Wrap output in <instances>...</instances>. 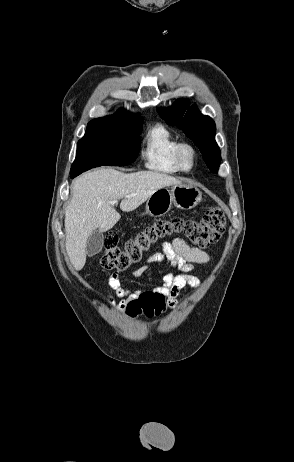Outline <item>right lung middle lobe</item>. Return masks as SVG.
Here are the masks:
<instances>
[{"mask_svg":"<svg viewBox=\"0 0 294 462\" xmlns=\"http://www.w3.org/2000/svg\"><path fill=\"white\" fill-rule=\"evenodd\" d=\"M142 124L141 117L106 116L90 121L84 137L78 141L70 176L98 167L103 158L110 159L115 166L134 162L140 149Z\"/></svg>","mask_w":294,"mask_h":462,"instance_id":"right-lung-middle-lobe-1","label":"right lung middle lobe"}]
</instances>
